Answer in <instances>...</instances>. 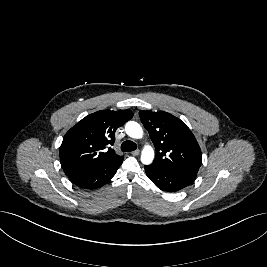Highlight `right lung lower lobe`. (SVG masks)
Wrapping results in <instances>:
<instances>
[{"label":"right lung lower lobe","mask_w":267,"mask_h":267,"mask_svg":"<svg viewBox=\"0 0 267 267\" xmlns=\"http://www.w3.org/2000/svg\"><path fill=\"white\" fill-rule=\"evenodd\" d=\"M123 158L74 173L69 179L77 186L84 189H96L102 187L116 174L122 164Z\"/></svg>","instance_id":"98d812e1"}]
</instances>
